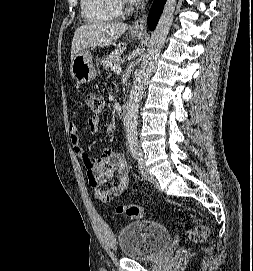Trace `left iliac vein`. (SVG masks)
I'll return each instance as SVG.
<instances>
[{"label":"left iliac vein","mask_w":253,"mask_h":271,"mask_svg":"<svg viewBox=\"0 0 253 271\" xmlns=\"http://www.w3.org/2000/svg\"><path fill=\"white\" fill-rule=\"evenodd\" d=\"M138 166L139 169L141 170L142 176L147 179V180H152L153 175L149 172L148 168H146L144 164V153L139 150L138 151Z\"/></svg>","instance_id":"obj_1"}]
</instances>
